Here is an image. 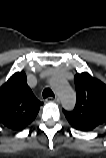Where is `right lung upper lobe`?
<instances>
[{"instance_id": "right-lung-upper-lobe-1", "label": "right lung upper lobe", "mask_w": 106, "mask_h": 158, "mask_svg": "<svg viewBox=\"0 0 106 158\" xmlns=\"http://www.w3.org/2000/svg\"><path fill=\"white\" fill-rule=\"evenodd\" d=\"M42 104L27 85L25 72H16L0 87V124L22 130L36 118Z\"/></svg>"}]
</instances>
